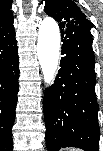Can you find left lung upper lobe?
Segmentation results:
<instances>
[{"label": "left lung upper lobe", "mask_w": 103, "mask_h": 151, "mask_svg": "<svg viewBox=\"0 0 103 151\" xmlns=\"http://www.w3.org/2000/svg\"><path fill=\"white\" fill-rule=\"evenodd\" d=\"M45 12L59 22L61 30L68 26L91 29L93 24L71 0H45Z\"/></svg>", "instance_id": "1"}]
</instances>
